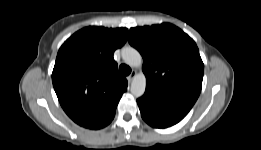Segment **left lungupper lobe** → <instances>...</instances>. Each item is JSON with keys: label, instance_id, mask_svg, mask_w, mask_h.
<instances>
[{"label": "left lung upper lobe", "instance_id": "1", "mask_svg": "<svg viewBox=\"0 0 261 150\" xmlns=\"http://www.w3.org/2000/svg\"><path fill=\"white\" fill-rule=\"evenodd\" d=\"M128 41L143 57L145 94L194 105L204 64L192 38L172 24L162 23L131 28Z\"/></svg>", "mask_w": 261, "mask_h": 150}]
</instances>
